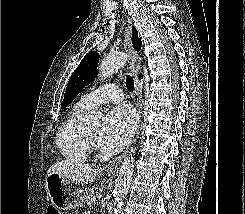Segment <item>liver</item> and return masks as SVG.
<instances>
[{"instance_id": "6515ba94", "label": "liver", "mask_w": 245, "mask_h": 214, "mask_svg": "<svg viewBox=\"0 0 245 214\" xmlns=\"http://www.w3.org/2000/svg\"><path fill=\"white\" fill-rule=\"evenodd\" d=\"M52 172H57L75 182L87 184L93 182L102 173V169L99 166L85 165L68 159L54 163L47 171V175Z\"/></svg>"}]
</instances>
